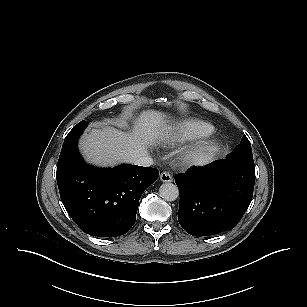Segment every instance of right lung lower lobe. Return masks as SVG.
I'll list each match as a JSON object with an SVG mask.
<instances>
[{"label": "right lung lower lobe", "mask_w": 307, "mask_h": 307, "mask_svg": "<svg viewBox=\"0 0 307 307\" xmlns=\"http://www.w3.org/2000/svg\"><path fill=\"white\" fill-rule=\"evenodd\" d=\"M78 138L64 141L57 164L63 205L85 233L123 235L134 225L140 197L157 180L159 171L127 164L112 169L87 165L77 150Z\"/></svg>", "instance_id": "right-lung-lower-lobe-1"}]
</instances>
